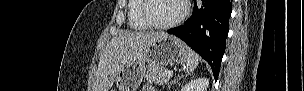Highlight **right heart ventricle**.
<instances>
[{
    "mask_svg": "<svg viewBox=\"0 0 304 91\" xmlns=\"http://www.w3.org/2000/svg\"><path fill=\"white\" fill-rule=\"evenodd\" d=\"M142 0H130L128 4V23L134 30H147L150 26L143 20L141 15Z\"/></svg>",
    "mask_w": 304,
    "mask_h": 91,
    "instance_id": "obj_1",
    "label": "right heart ventricle"
}]
</instances>
